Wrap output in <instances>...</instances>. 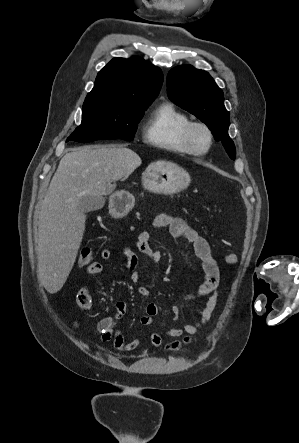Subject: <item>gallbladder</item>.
<instances>
[{
	"label": "gallbladder",
	"instance_id": "bac80fb5",
	"mask_svg": "<svg viewBox=\"0 0 299 443\" xmlns=\"http://www.w3.org/2000/svg\"><path fill=\"white\" fill-rule=\"evenodd\" d=\"M105 199L102 196L85 195L79 199L78 209L83 212L97 211L103 208Z\"/></svg>",
	"mask_w": 299,
	"mask_h": 443
}]
</instances>
